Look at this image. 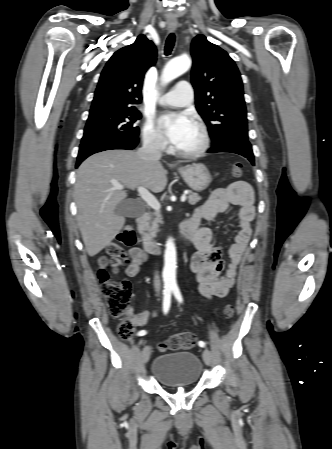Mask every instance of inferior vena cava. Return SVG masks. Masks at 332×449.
<instances>
[{
	"label": "inferior vena cava",
	"instance_id": "1",
	"mask_svg": "<svg viewBox=\"0 0 332 449\" xmlns=\"http://www.w3.org/2000/svg\"><path fill=\"white\" fill-rule=\"evenodd\" d=\"M162 140L159 138H149L144 140L142 147L137 151V155L144 161H159L162 156ZM154 288L156 292L161 289L160 277L157 273L154 276Z\"/></svg>",
	"mask_w": 332,
	"mask_h": 449
}]
</instances>
